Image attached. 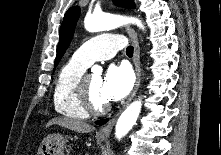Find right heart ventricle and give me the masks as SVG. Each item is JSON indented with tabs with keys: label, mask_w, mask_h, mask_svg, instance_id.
I'll list each match as a JSON object with an SVG mask.
<instances>
[{
	"label": "right heart ventricle",
	"mask_w": 221,
	"mask_h": 155,
	"mask_svg": "<svg viewBox=\"0 0 221 155\" xmlns=\"http://www.w3.org/2000/svg\"><path fill=\"white\" fill-rule=\"evenodd\" d=\"M87 68V64L72 57L60 69L53 93L54 107L58 113L75 119L88 117L77 96L78 83Z\"/></svg>",
	"instance_id": "obj_1"
}]
</instances>
